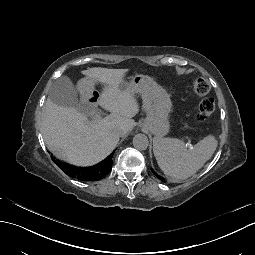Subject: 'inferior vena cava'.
Returning <instances> with one entry per match:
<instances>
[{
	"label": "inferior vena cava",
	"instance_id": "602c4592",
	"mask_svg": "<svg viewBox=\"0 0 255 255\" xmlns=\"http://www.w3.org/2000/svg\"><path fill=\"white\" fill-rule=\"evenodd\" d=\"M130 129V126L128 123L124 122L122 124H119L117 125L115 128H114V131L118 134V136H124L128 130Z\"/></svg>",
	"mask_w": 255,
	"mask_h": 255
}]
</instances>
